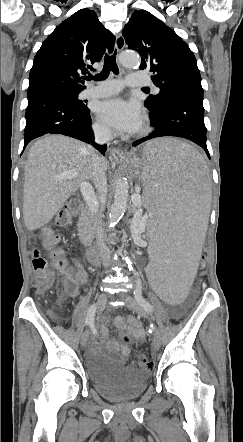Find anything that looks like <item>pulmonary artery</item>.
Returning <instances> with one entry per match:
<instances>
[{
	"label": "pulmonary artery",
	"mask_w": 243,
	"mask_h": 442,
	"mask_svg": "<svg viewBox=\"0 0 243 442\" xmlns=\"http://www.w3.org/2000/svg\"><path fill=\"white\" fill-rule=\"evenodd\" d=\"M126 84L131 87L145 86L151 84L150 80L144 76V74L132 72L128 75ZM122 82L116 79H110L100 82L96 86H91L82 91L81 96L83 99L101 98L116 94L120 91ZM155 92L158 88L153 86Z\"/></svg>",
	"instance_id": "e3ab8cb5"
}]
</instances>
